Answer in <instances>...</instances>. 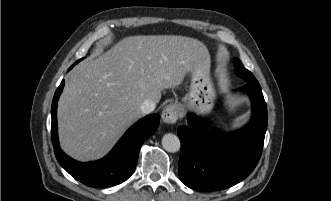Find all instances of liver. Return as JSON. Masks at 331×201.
<instances>
[{"mask_svg":"<svg viewBox=\"0 0 331 201\" xmlns=\"http://www.w3.org/2000/svg\"><path fill=\"white\" fill-rule=\"evenodd\" d=\"M209 58L199 40L176 35L130 36L68 75L58 102L64 152L79 161L103 157L143 115L146 100L182 83L196 61Z\"/></svg>","mask_w":331,"mask_h":201,"instance_id":"liver-1","label":"liver"}]
</instances>
